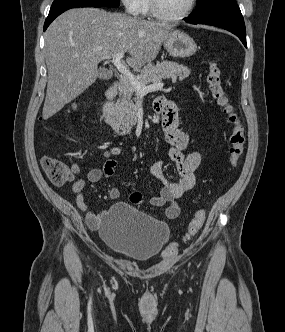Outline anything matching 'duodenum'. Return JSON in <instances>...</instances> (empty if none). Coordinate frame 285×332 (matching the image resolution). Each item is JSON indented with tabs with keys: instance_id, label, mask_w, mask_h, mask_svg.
Here are the masks:
<instances>
[{
	"instance_id": "1",
	"label": "duodenum",
	"mask_w": 285,
	"mask_h": 332,
	"mask_svg": "<svg viewBox=\"0 0 285 332\" xmlns=\"http://www.w3.org/2000/svg\"><path fill=\"white\" fill-rule=\"evenodd\" d=\"M120 85L118 82L114 83L105 92V101L102 106V112L105 122L119 135H126L130 127L123 122L115 107V98L118 94ZM156 106L163 109L165 100L159 99L156 101Z\"/></svg>"
}]
</instances>
